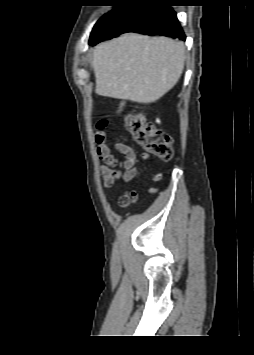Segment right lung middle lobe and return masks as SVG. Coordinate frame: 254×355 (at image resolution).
Here are the masks:
<instances>
[{
    "label": "right lung middle lobe",
    "instance_id": "right-lung-middle-lobe-1",
    "mask_svg": "<svg viewBox=\"0 0 254 355\" xmlns=\"http://www.w3.org/2000/svg\"><path fill=\"white\" fill-rule=\"evenodd\" d=\"M119 6L115 7L112 11L108 12L107 14L103 15L95 24L91 35H90V40L89 42L93 41L100 33V31L102 30V28L104 27V25L106 24V22L108 21V19L110 18V16L112 15V13L114 12V10H116Z\"/></svg>",
    "mask_w": 254,
    "mask_h": 355
}]
</instances>
